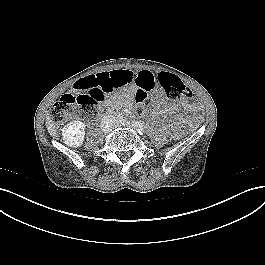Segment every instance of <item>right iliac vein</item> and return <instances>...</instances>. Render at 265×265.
Segmentation results:
<instances>
[{
	"label": "right iliac vein",
	"mask_w": 265,
	"mask_h": 265,
	"mask_svg": "<svg viewBox=\"0 0 265 265\" xmlns=\"http://www.w3.org/2000/svg\"><path fill=\"white\" fill-rule=\"evenodd\" d=\"M111 130V125H109L107 128H106V132L110 131Z\"/></svg>",
	"instance_id": "right-iliac-vein-1"
}]
</instances>
